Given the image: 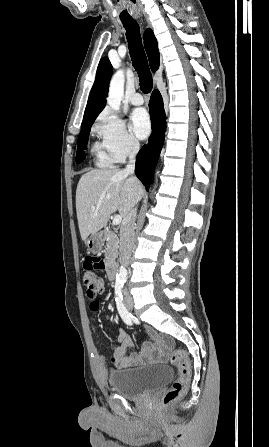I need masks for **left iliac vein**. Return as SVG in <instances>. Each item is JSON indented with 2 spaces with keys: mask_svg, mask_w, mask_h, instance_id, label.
I'll list each match as a JSON object with an SVG mask.
<instances>
[{
  "mask_svg": "<svg viewBox=\"0 0 269 447\" xmlns=\"http://www.w3.org/2000/svg\"><path fill=\"white\" fill-rule=\"evenodd\" d=\"M125 304H126V306H127V308H128L129 310H132V308H133V304H132V302L130 301V299H127L126 302H125Z\"/></svg>",
  "mask_w": 269,
  "mask_h": 447,
  "instance_id": "left-iliac-vein-1",
  "label": "left iliac vein"
}]
</instances>
